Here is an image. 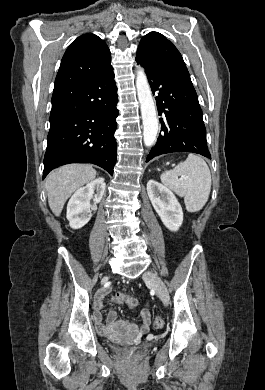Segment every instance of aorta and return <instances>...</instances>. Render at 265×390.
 I'll return each mask as SVG.
<instances>
[{"label": "aorta", "mask_w": 265, "mask_h": 390, "mask_svg": "<svg viewBox=\"0 0 265 390\" xmlns=\"http://www.w3.org/2000/svg\"><path fill=\"white\" fill-rule=\"evenodd\" d=\"M137 95L141 106L145 146H152L158 133V119L145 72L139 68L136 77Z\"/></svg>", "instance_id": "1"}]
</instances>
